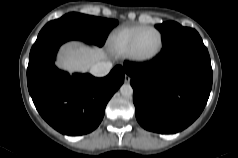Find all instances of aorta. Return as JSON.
<instances>
[{"label":"aorta","instance_id":"762f6f07","mask_svg":"<svg viewBox=\"0 0 238 158\" xmlns=\"http://www.w3.org/2000/svg\"><path fill=\"white\" fill-rule=\"evenodd\" d=\"M120 92L123 96H131L133 93V89L130 84H123L120 87Z\"/></svg>","mask_w":238,"mask_h":158}]
</instances>
